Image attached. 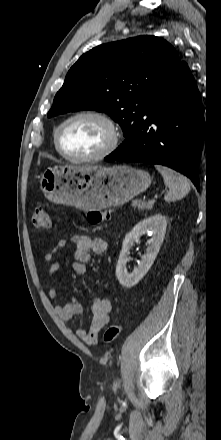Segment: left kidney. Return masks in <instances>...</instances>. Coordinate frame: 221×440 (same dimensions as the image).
I'll list each match as a JSON object with an SVG mask.
<instances>
[{"label":"left kidney","mask_w":221,"mask_h":440,"mask_svg":"<svg viewBox=\"0 0 221 440\" xmlns=\"http://www.w3.org/2000/svg\"><path fill=\"white\" fill-rule=\"evenodd\" d=\"M167 227V219L162 214H155L138 222L133 229L125 236L122 250L116 266V276L123 287L130 288L136 285L152 266L163 243ZM144 234L151 235L147 242L146 254L142 256L141 262L128 273L126 264L129 250L135 241H138Z\"/></svg>","instance_id":"left-kidney-1"}]
</instances>
